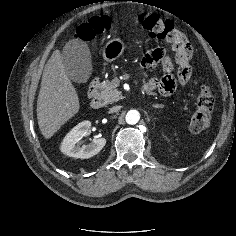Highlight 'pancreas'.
I'll return each mask as SVG.
<instances>
[{
    "instance_id": "1",
    "label": "pancreas",
    "mask_w": 236,
    "mask_h": 236,
    "mask_svg": "<svg viewBox=\"0 0 236 236\" xmlns=\"http://www.w3.org/2000/svg\"><path fill=\"white\" fill-rule=\"evenodd\" d=\"M117 84L112 81H104L99 86L97 97L103 101L104 104H111L122 98V93L116 89Z\"/></svg>"
}]
</instances>
